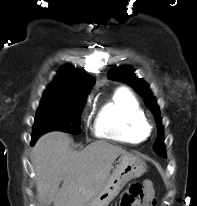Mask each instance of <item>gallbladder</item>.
Segmentation results:
<instances>
[{"instance_id":"1","label":"gallbladder","mask_w":197,"mask_h":206,"mask_svg":"<svg viewBox=\"0 0 197 206\" xmlns=\"http://www.w3.org/2000/svg\"><path fill=\"white\" fill-rule=\"evenodd\" d=\"M42 206H49L48 204H43Z\"/></svg>"}]
</instances>
